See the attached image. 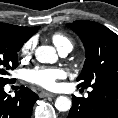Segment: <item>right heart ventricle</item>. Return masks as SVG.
Returning a JSON list of instances; mask_svg holds the SVG:
<instances>
[{
    "mask_svg": "<svg viewBox=\"0 0 118 118\" xmlns=\"http://www.w3.org/2000/svg\"><path fill=\"white\" fill-rule=\"evenodd\" d=\"M52 42L58 48L59 51L64 49H72V41L63 33L56 32L51 36Z\"/></svg>",
    "mask_w": 118,
    "mask_h": 118,
    "instance_id": "right-heart-ventricle-1",
    "label": "right heart ventricle"
}]
</instances>
